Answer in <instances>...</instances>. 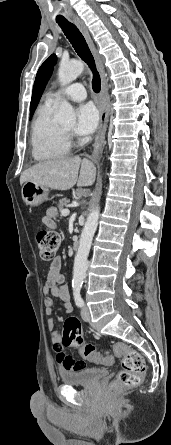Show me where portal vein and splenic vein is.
<instances>
[{
    "mask_svg": "<svg viewBox=\"0 0 171 445\" xmlns=\"http://www.w3.org/2000/svg\"><path fill=\"white\" fill-rule=\"evenodd\" d=\"M69 213H70V211L68 209H64L63 211H61L62 216H68Z\"/></svg>",
    "mask_w": 171,
    "mask_h": 445,
    "instance_id": "obj_1",
    "label": "portal vein and splenic vein"
}]
</instances>
